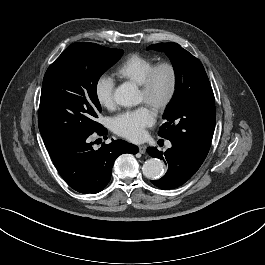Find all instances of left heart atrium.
<instances>
[{"label": "left heart atrium", "instance_id": "39dd6f15", "mask_svg": "<svg viewBox=\"0 0 265 265\" xmlns=\"http://www.w3.org/2000/svg\"><path fill=\"white\" fill-rule=\"evenodd\" d=\"M154 114L148 106L119 113L111 120L112 130L131 141H141L146 136V128L153 125Z\"/></svg>", "mask_w": 265, "mask_h": 265}]
</instances>
